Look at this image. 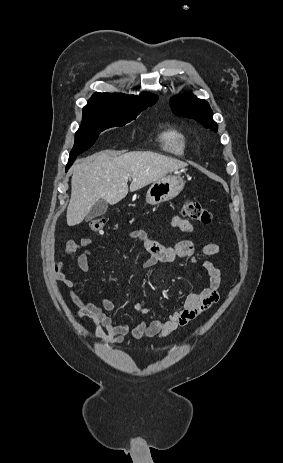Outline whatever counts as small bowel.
<instances>
[{"label":"small bowel","mask_w":283,"mask_h":463,"mask_svg":"<svg viewBox=\"0 0 283 463\" xmlns=\"http://www.w3.org/2000/svg\"><path fill=\"white\" fill-rule=\"evenodd\" d=\"M169 224L182 232L192 233L194 231V226L188 220L179 216H173L169 220ZM129 238L139 240L148 253V258L142 263L144 268L153 267L158 263H170L177 258L189 259L203 271L207 279V285L198 292L188 294L182 304L174 309L167 318L150 314L146 308L136 304L135 308L145 318L130 330L127 323L116 324L107 314V312L116 309L113 301L104 297L101 300V306H98L92 302L84 301L74 290L73 281L64 271L66 262L70 257L79 253L77 257L79 267L83 271H89L92 240L85 237L78 242L68 241L62 258L54 259L53 271L57 280L65 286L68 296L77 307L76 316L93 320L97 327L98 338L102 342L122 343L126 340L129 332L137 340L166 337L178 328L187 325L219 300L222 274L220 269L207 259L219 253L217 244L207 243L197 247L192 241L183 240L174 246L167 247L156 241L151 232L145 230L132 231Z\"/></svg>","instance_id":"small-bowel-1"}]
</instances>
